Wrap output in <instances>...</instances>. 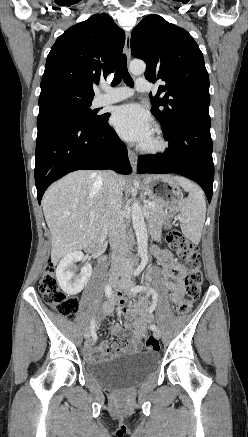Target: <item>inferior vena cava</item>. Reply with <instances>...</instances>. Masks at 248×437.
I'll return each mask as SVG.
<instances>
[{
	"instance_id": "602c4592",
	"label": "inferior vena cava",
	"mask_w": 248,
	"mask_h": 437,
	"mask_svg": "<svg viewBox=\"0 0 248 437\" xmlns=\"http://www.w3.org/2000/svg\"><path fill=\"white\" fill-rule=\"evenodd\" d=\"M106 191V210L104 226L109 230L110 247L112 250V267L129 268L125 260L127 252L126 225L122 216V188L118 175L111 171L103 173Z\"/></svg>"
}]
</instances>
